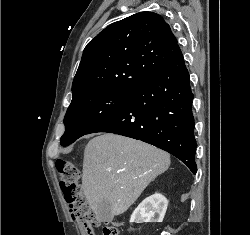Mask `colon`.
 Here are the masks:
<instances>
[{
    "mask_svg": "<svg viewBox=\"0 0 250 235\" xmlns=\"http://www.w3.org/2000/svg\"><path fill=\"white\" fill-rule=\"evenodd\" d=\"M57 171L60 187L73 220L79 222L87 235H119V223L105 224L99 234L95 232L96 221L90 211L80 185V171L74 162L58 160Z\"/></svg>",
    "mask_w": 250,
    "mask_h": 235,
    "instance_id": "5ec220e1",
    "label": "colon"
}]
</instances>
